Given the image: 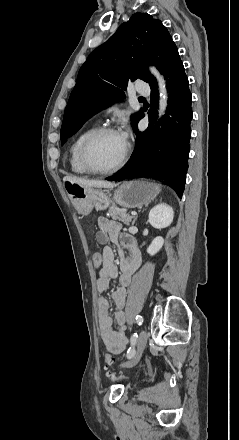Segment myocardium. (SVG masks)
<instances>
[{
    "label": "myocardium",
    "mask_w": 239,
    "mask_h": 440,
    "mask_svg": "<svg viewBox=\"0 0 239 440\" xmlns=\"http://www.w3.org/2000/svg\"><path fill=\"white\" fill-rule=\"evenodd\" d=\"M109 133H119L114 127L112 126H102L97 129H95L93 132H91L83 141L80 151H79V158L82 166L84 169L94 175H111L115 174L118 171H120L126 164V162L129 159L130 153H131V147L128 143H126V148L124 151V154L122 158L120 159L119 163L111 169H98L96 168L90 161L89 158V151L92 144L102 135L109 134Z\"/></svg>",
    "instance_id": "myocardium-1"
}]
</instances>
